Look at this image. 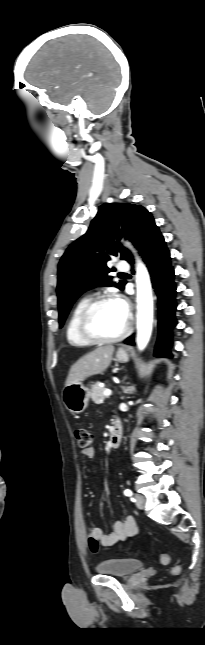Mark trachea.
Returning <instances> with one entry per match:
<instances>
[{
    "label": "trachea",
    "instance_id": "1",
    "mask_svg": "<svg viewBox=\"0 0 205 645\" xmlns=\"http://www.w3.org/2000/svg\"><path fill=\"white\" fill-rule=\"evenodd\" d=\"M120 275H125V273H120Z\"/></svg>",
    "mask_w": 205,
    "mask_h": 645
}]
</instances>
